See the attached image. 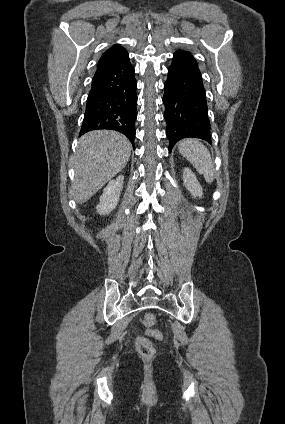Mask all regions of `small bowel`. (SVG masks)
I'll list each match as a JSON object with an SVG mask.
<instances>
[{"label":"small bowel","instance_id":"c3829d8e","mask_svg":"<svg viewBox=\"0 0 285 424\" xmlns=\"http://www.w3.org/2000/svg\"><path fill=\"white\" fill-rule=\"evenodd\" d=\"M148 333H149L150 335H154L152 331H148Z\"/></svg>","mask_w":285,"mask_h":424}]
</instances>
